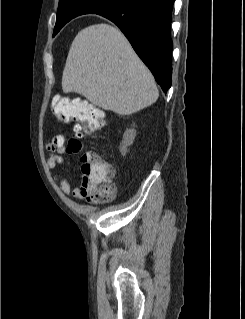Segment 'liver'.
<instances>
[{
	"instance_id": "liver-1",
	"label": "liver",
	"mask_w": 245,
	"mask_h": 319,
	"mask_svg": "<svg viewBox=\"0 0 245 319\" xmlns=\"http://www.w3.org/2000/svg\"><path fill=\"white\" fill-rule=\"evenodd\" d=\"M62 89L119 115L144 109L159 95L153 75L126 37L104 23L88 26L76 35L63 71Z\"/></svg>"
}]
</instances>
